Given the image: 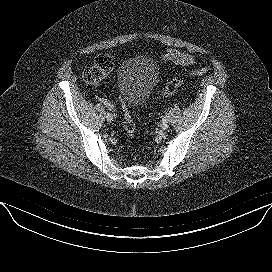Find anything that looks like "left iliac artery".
<instances>
[{
  "mask_svg": "<svg viewBox=\"0 0 272 272\" xmlns=\"http://www.w3.org/2000/svg\"><path fill=\"white\" fill-rule=\"evenodd\" d=\"M167 120V117L165 116V117H163V121H166Z\"/></svg>",
  "mask_w": 272,
  "mask_h": 272,
  "instance_id": "1",
  "label": "left iliac artery"
}]
</instances>
